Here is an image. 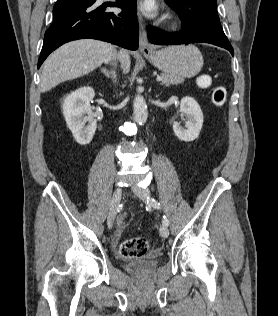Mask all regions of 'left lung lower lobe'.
<instances>
[{
	"label": "left lung lower lobe",
	"instance_id": "1",
	"mask_svg": "<svg viewBox=\"0 0 278 316\" xmlns=\"http://www.w3.org/2000/svg\"><path fill=\"white\" fill-rule=\"evenodd\" d=\"M148 39L153 44H189V43H209L227 49L233 55V48L227 38L201 31L184 28L180 32L167 33L157 28L149 27Z\"/></svg>",
	"mask_w": 278,
	"mask_h": 316
}]
</instances>
